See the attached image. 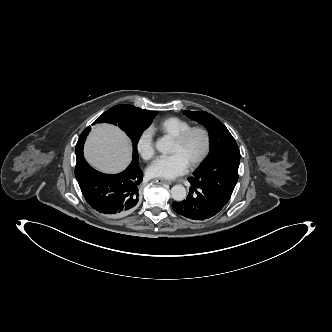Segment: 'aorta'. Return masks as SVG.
<instances>
[{"label": "aorta", "instance_id": "obj_1", "mask_svg": "<svg viewBox=\"0 0 332 332\" xmlns=\"http://www.w3.org/2000/svg\"><path fill=\"white\" fill-rule=\"evenodd\" d=\"M169 147V143L165 139H160L156 143V149L161 152H167ZM171 196L172 198L177 201L181 202L186 198V189L183 185H175L171 188Z\"/></svg>", "mask_w": 332, "mask_h": 332}]
</instances>
